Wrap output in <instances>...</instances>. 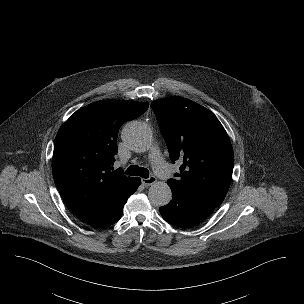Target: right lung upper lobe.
I'll list each match as a JSON object with an SVG mask.
<instances>
[{"label": "right lung upper lobe", "mask_w": 304, "mask_h": 304, "mask_svg": "<svg viewBox=\"0 0 304 304\" xmlns=\"http://www.w3.org/2000/svg\"><path fill=\"white\" fill-rule=\"evenodd\" d=\"M147 109V102H95L60 127L54 143V181L64 202L82 220L96 216L133 179L113 171L117 134L125 121Z\"/></svg>", "instance_id": "right-lung-upper-lobe-1"}]
</instances>
